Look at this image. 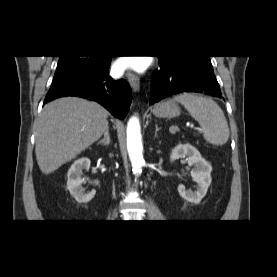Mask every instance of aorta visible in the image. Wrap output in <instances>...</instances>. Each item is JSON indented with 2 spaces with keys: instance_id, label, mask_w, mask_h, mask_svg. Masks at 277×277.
<instances>
[{
  "instance_id": "762f6f07",
  "label": "aorta",
  "mask_w": 277,
  "mask_h": 277,
  "mask_svg": "<svg viewBox=\"0 0 277 277\" xmlns=\"http://www.w3.org/2000/svg\"><path fill=\"white\" fill-rule=\"evenodd\" d=\"M127 150L132 163L134 174H140L144 159L142 155V137L139 119L135 116L131 117L127 124Z\"/></svg>"
}]
</instances>
